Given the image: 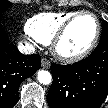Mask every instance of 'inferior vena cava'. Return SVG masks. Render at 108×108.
<instances>
[{
  "instance_id": "inferior-vena-cava-1",
  "label": "inferior vena cava",
  "mask_w": 108,
  "mask_h": 108,
  "mask_svg": "<svg viewBox=\"0 0 108 108\" xmlns=\"http://www.w3.org/2000/svg\"><path fill=\"white\" fill-rule=\"evenodd\" d=\"M18 50L22 54L29 55V54H32V53L35 52V47L28 42H25L24 44H23V42H20L19 45H18Z\"/></svg>"
}]
</instances>
